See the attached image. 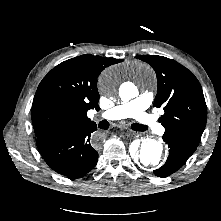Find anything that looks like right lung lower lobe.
<instances>
[{
    "label": "right lung lower lobe",
    "instance_id": "obj_1",
    "mask_svg": "<svg viewBox=\"0 0 221 221\" xmlns=\"http://www.w3.org/2000/svg\"><path fill=\"white\" fill-rule=\"evenodd\" d=\"M96 124L62 129L37 138V147L46 163L57 173L78 178L97 164L94 149Z\"/></svg>",
    "mask_w": 221,
    "mask_h": 221
}]
</instances>
